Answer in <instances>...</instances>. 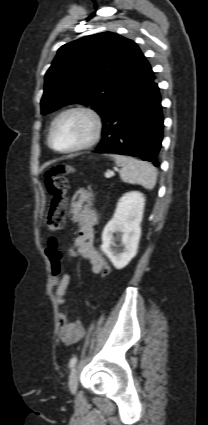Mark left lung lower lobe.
<instances>
[{
	"label": "left lung lower lobe",
	"mask_w": 208,
	"mask_h": 425,
	"mask_svg": "<svg viewBox=\"0 0 208 425\" xmlns=\"http://www.w3.org/2000/svg\"><path fill=\"white\" fill-rule=\"evenodd\" d=\"M97 153L138 156L159 166L163 138L161 96L147 60L105 107Z\"/></svg>",
	"instance_id": "1"
}]
</instances>
